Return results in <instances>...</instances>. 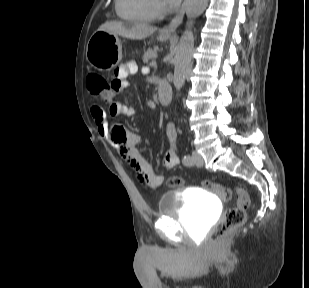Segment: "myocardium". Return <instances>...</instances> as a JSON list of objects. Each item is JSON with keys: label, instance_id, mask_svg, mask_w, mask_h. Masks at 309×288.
Instances as JSON below:
<instances>
[{"label": "myocardium", "instance_id": "myocardium-1", "mask_svg": "<svg viewBox=\"0 0 309 288\" xmlns=\"http://www.w3.org/2000/svg\"><path fill=\"white\" fill-rule=\"evenodd\" d=\"M156 3V7L158 9V12L164 11V4L162 0H154Z\"/></svg>", "mask_w": 309, "mask_h": 288}]
</instances>
